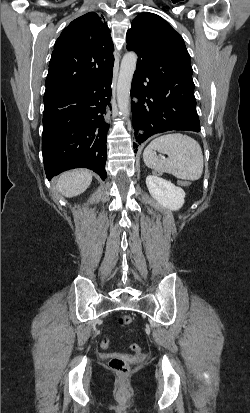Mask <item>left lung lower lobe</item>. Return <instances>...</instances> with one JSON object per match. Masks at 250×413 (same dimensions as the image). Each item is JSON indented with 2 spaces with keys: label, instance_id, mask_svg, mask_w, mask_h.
<instances>
[{
  "label": "left lung lower lobe",
  "instance_id": "obj_1",
  "mask_svg": "<svg viewBox=\"0 0 250 413\" xmlns=\"http://www.w3.org/2000/svg\"><path fill=\"white\" fill-rule=\"evenodd\" d=\"M138 58L131 85L134 148L151 135L172 130L200 131L194 83L172 76H154ZM137 152V150H135Z\"/></svg>",
  "mask_w": 250,
  "mask_h": 413
}]
</instances>
